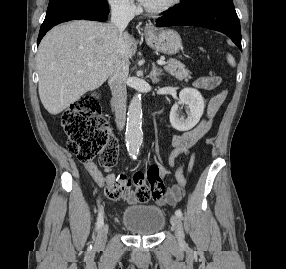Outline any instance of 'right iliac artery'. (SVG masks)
I'll return each mask as SVG.
<instances>
[{
    "instance_id": "right-iliac-artery-1",
    "label": "right iliac artery",
    "mask_w": 286,
    "mask_h": 269,
    "mask_svg": "<svg viewBox=\"0 0 286 269\" xmlns=\"http://www.w3.org/2000/svg\"><path fill=\"white\" fill-rule=\"evenodd\" d=\"M104 222V218H103V212L101 210V208L99 207V213H98V218H97V222H96V230H98ZM92 248V247H90Z\"/></svg>"
}]
</instances>
